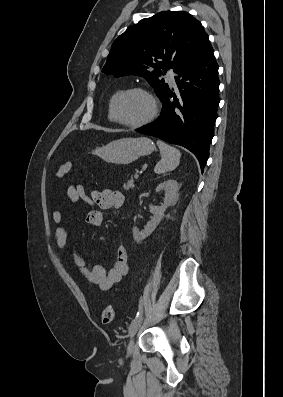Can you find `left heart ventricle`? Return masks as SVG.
Returning a JSON list of instances; mask_svg holds the SVG:
<instances>
[{
	"instance_id": "left-heart-ventricle-1",
	"label": "left heart ventricle",
	"mask_w": 283,
	"mask_h": 397,
	"mask_svg": "<svg viewBox=\"0 0 283 397\" xmlns=\"http://www.w3.org/2000/svg\"><path fill=\"white\" fill-rule=\"evenodd\" d=\"M117 112L123 121L138 122L150 114L151 103L144 94L129 93L118 101Z\"/></svg>"
}]
</instances>
